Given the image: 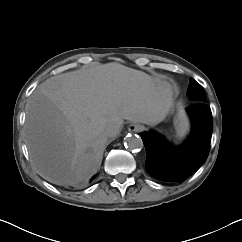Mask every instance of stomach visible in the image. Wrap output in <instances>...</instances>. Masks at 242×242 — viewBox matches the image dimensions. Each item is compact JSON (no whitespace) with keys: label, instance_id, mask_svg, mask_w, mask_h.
Masks as SVG:
<instances>
[{"label":"stomach","instance_id":"1","mask_svg":"<svg viewBox=\"0 0 242 242\" xmlns=\"http://www.w3.org/2000/svg\"><path fill=\"white\" fill-rule=\"evenodd\" d=\"M174 127L179 139H183L189 131V120L186 113L180 107L175 109Z\"/></svg>","mask_w":242,"mask_h":242}]
</instances>
